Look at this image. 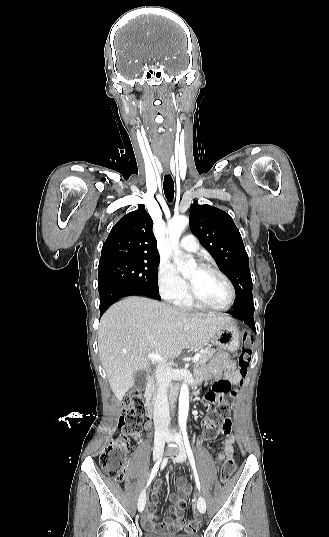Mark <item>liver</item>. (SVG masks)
<instances>
[{
	"label": "liver",
	"mask_w": 329,
	"mask_h": 537,
	"mask_svg": "<svg viewBox=\"0 0 329 537\" xmlns=\"http://www.w3.org/2000/svg\"><path fill=\"white\" fill-rule=\"evenodd\" d=\"M230 317L189 315L158 301L127 297L104 313L98 330L99 355L118 401L133 386L134 376L150 367L149 353L175 358L183 349L204 346Z\"/></svg>",
	"instance_id": "1"
}]
</instances>
